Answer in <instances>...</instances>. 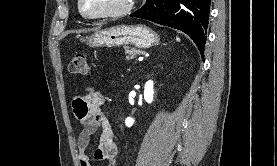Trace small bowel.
Wrapping results in <instances>:
<instances>
[{"instance_id":"small-bowel-1","label":"small bowel","mask_w":277,"mask_h":166,"mask_svg":"<svg viewBox=\"0 0 277 166\" xmlns=\"http://www.w3.org/2000/svg\"><path fill=\"white\" fill-rule=\"evenodd\" d=\"M104 96L91 91L86 97H77L73 100V110L81 131L77 139L80 166H92L94 161H108L107 166H117L118 148L114 140L112 127L102 111ZM101 130L98 146L93 158L87 153L92 135Z\"/></svg>"}]
</instances>
